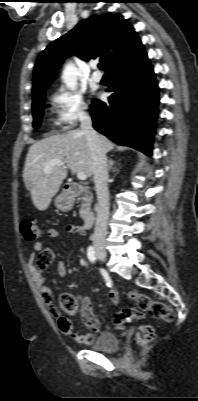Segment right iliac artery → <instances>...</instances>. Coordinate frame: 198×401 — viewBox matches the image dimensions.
I'll return each instance as SVG.
<instances>
[{
  "label": "right iliac artery",
  "mask_w": 198,
  "mask_h": 401,
  "mask_svg": "<svg viewBox=\"0 0 198 401\" xmlns=\"http://www.w3.org/2000/svg\"><path fill=\"white\" fill-rule=\"evenodd\" d=\"M87 256H88V259H89L92 263L95 262L96 257H95V250H94V247H92V246L88 247V249H87Z\"/></svg>",
  "instance_id": "82829eb1"
}]
</instances>
